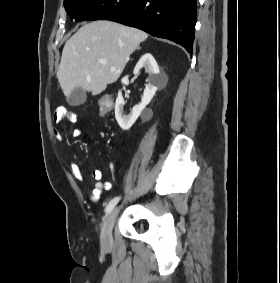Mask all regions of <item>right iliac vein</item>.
I'll use <instances>...</instances> for the list:
<instances>
[{"label":"right iliac vein","mask_w":280,"mask_h":283,"mask_svg":"<svg viewBox=\"0 0 280 283\" xmlns=\"http://www.w3.org/2000/svg\"><path fill=\"white\" fill-rule=\"evenodd\" d=\"M119 207L114 208L104 221L101 231V245L108 249L113 244L112 229L119 214Z\"/></svg>","instance_id":"obj_1"}]
</instances>
